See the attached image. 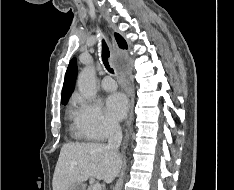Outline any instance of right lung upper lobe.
<instances>
[{
  "label": "right lung upper lobe",
  "mask_w": 234,
  "mask_h": 190,
  "mask_svg": "<svg viewBox=\"0 0 234 190\" xmlns=\"http://www.w3.org/2000/svg\"><path fill=\"white\" fill-rule=\"evenodd\" d=\"M115 38L118 45L121 48L127 49L126 41L123 39L121 35L115 33ZM76 76H77V62L76 59L73 58L69 63V66L65 74V79L62 89V103H67L68 99L70 98L71 93L74 90Z\"/></svg>",
  "instance_id": "1"
}]
</instances>
